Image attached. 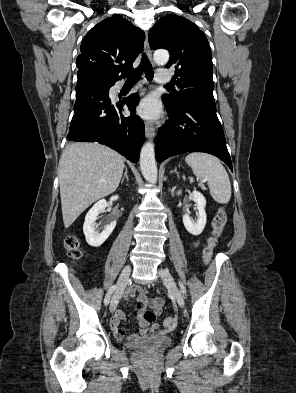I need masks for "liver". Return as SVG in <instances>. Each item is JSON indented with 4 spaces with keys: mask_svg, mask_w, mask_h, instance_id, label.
I'll use <instances>...</instances> for the list:
<instances>
[{
    "mask_svg": "<svg viewBox=\"0 0 296 393\" xmlns=\"http://www.w3.org/2000/svg\"><path fill=\"white\" fill-rule=\"evenodd\" d=\"M124 166L119 153L96 142L72 143L65 148L58 166L65 228L92 203L117 189Z\"/></svg>",
    "mask_w": 296,
    "mask_h": 393,
    "instance_id": "6515ba94",
    "label": "liver"
}]
</instances>
